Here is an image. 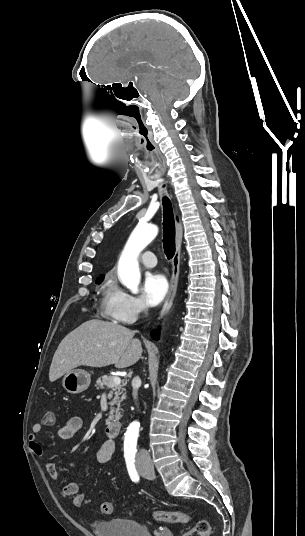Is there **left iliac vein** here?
I'll return each instance as SVG.
<instances>
[{
  "mask_svg": "<svg viewBox=\"0 0 305 536\" xmlns=\"http://www.w3.org/2000/svg\"><path fill=\"white\" fill-rule=\"evenodd\" d=\"M138 472L144 477H148V478L154 477V470L152 467L147 468V470H144L141 467H138Z\"/></svg>",
  "mask_w": 305,
  "mask_h": 536,
  "instance_id": "left-iliac-vein-1",
  "label": "left iliac vein"
}]
</instances>
